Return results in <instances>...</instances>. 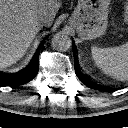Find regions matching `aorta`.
Returning <instances> with one entry per match:
<instances>
[{
    "label": "aorta",
    "mask_w": 128,
    "mask_h": 128,
    "mask_svg": "<svg viewBox=\"0 0 128 128\" xmlns=\"http://www.w3.org/2000/svg\"><path fill=\"white\" fill-rule=\"evenodd\" d=\"M51 45H52L53 49H55V50L64 51L70 47L71 40L67 36H64L61 34H56L52 38Z\"/></svg>",
    "instance_id": "aorta-1"
}]
</instances>
